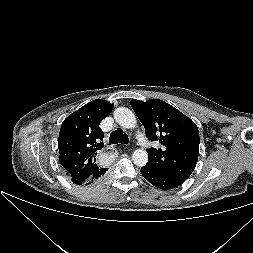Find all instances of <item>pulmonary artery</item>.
<instances>
[{"label":"pulmonary artery","instance_id":"e3ab8cb5","mask_svg":"<svg viewBox=\"0 0 253 253\" xmlns=\"http://www.w3.org/2000/svg\"><path fill=\"white\" fill-rule=\"evenodd\" d=\"M137 139L142 144V146H144V147L149 146L148 140L146 139V137L141 132L137 133Z\"/></svg>","mask_w":253,"mask_h":253}]
</instances>
